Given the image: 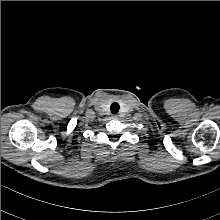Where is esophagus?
Masks as SVG:
<instances>
[{
  "mask_svg": "<svg viewBox=\"0 0 220 220\" xmlns=\"http://www.w3.org/2000/svg\"><path fill=\"white\" fill-rule=\"evenodd\" d=\"M112 118H113V119H117V118H118V115H117V114H113V115H112Z\"/></svg>",
  "mask_w": 220,
  "mask_h": 220,
  "instance_id": "1",
  "label": "esophagus"
}]
</instances>
